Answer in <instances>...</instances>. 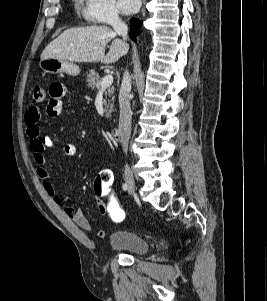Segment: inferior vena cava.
<instances>
[{
	"instance_id": "obj_1",
	"label": "inferior vena cava",
	"mask_w": 267,
	"mask_h": 301,
	"mask_svg": "<svg viewBox=\"0 0 267 301\" xmlns=\"http://www.w3.org/2000/svg\"><path fill=\"white\" fill-rule=\"evenodd\" d=\"M114 31L121 35L124 40L127 39L128 27L119 18L117 14L111 17L110 21ZM130 90L131 79L128 71L123 74V80L119 92V106H120V119L119 130L121 136V143L125 153H127L128 143L131 135V108H130Z\"/></svg>"
}]
</instances>
